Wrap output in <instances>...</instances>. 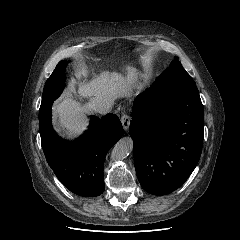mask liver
<instances>
[{
	"label": "liver",
	"instance_id": "liver-1",
	"mask_svg": "<svg viewBox=\"0 0 240 240\" xmlns=\"http://www.w3.org/2000/svg\"><path fill=\"white\" fill-rule=\"evenodd\" d=\"M136 80L137 70L128 67L126 77L115 72H105L87 84L79 83L78 92L83 97L93 96L111 102L126 94ZM53 110L58 116L59 129H67L70 135L79 134L84 129L86 108L81 107L74 99L66 97L55 102Z\"/></svg>",
	"mask_w": 240,
	"mask_h": 240
}]
</instances>
